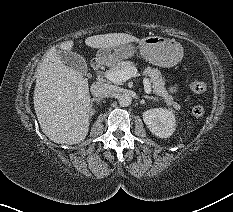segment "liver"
Segmentation results:
<instances>
[{
    "label": "liver",
    "mask_w": 233,
    "mask_h": 212,
    "mask_svg": "<svg viewBox=\"0 0 233 212\" xmlns=\"http://www.w3.org/2000/svg\"><path fill=\"white\" fill-rule=\"evenodd\" d=\"M126 33H109L86 38L92 48H109L137 41ZM73 40L62 42L59 47L70 51ZM34 110L42 132L53 142L78 144L89 131L91 114L89 84L81 72L66 66L50 48L37 67L34 90Z\"/></svg>",
    "instance_id": "1"
}]
</instances>
